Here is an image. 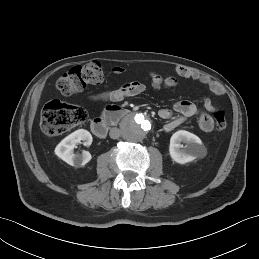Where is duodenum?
<instances>
[{"instance_id": "duodenum-1", "label": "duodenum", "mask_w": 259, "mask_h": 259, "mask_svg": "<svg viewBox=\"0 0 259 259\" xmlns=\"http://www.w3.org/2000/svg\"><path fill=\"white\" fill-rule=\"evenodd\" d=\"M131 112L117 105H108L101 117L95 118L91 123V130L98 138H104L110 124L119 118L130 115Z\"/></svg>"}]
</instances>
